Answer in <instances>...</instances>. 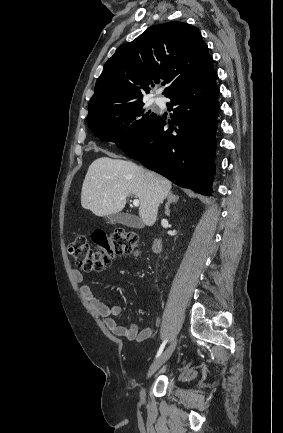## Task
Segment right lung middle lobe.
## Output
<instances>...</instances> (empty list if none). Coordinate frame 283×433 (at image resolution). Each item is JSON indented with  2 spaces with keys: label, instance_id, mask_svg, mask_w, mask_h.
Returning <instances> with one entry per match:
<instances>
[{
  "label": "right lung middle lobe",
  "instance_id": "1",
  "mask_svg": "<svg viewBox=\"0 0 283 433\" xmlns=\"http://www.w3.org/2000/svg\"><path fill=\"white\" fill-rule=\"evenodd\" d=\"M143 106L142 100L113 106L87 116V123L97 137L124 151L143 136L157 115Z\"/></svg>",
  "mask_w": 283,
  "mask_h": 433
}]
</instances>
